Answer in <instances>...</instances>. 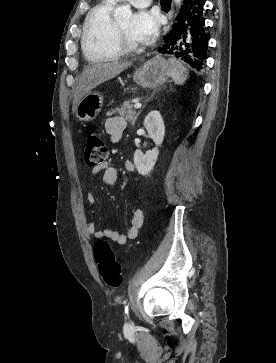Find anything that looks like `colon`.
Wrapping results in <instances>:
<instances>
[{"instance_id":"obj_1","label":"colon","mask_w":276,"mask_h":363,"mask_svg":"<svg viewBox=\"0 0 276 363\" xmlns=\"http://www.w3.org/2000/svg\"><path fill=\"white\" fill-rule=\"evenodd\" d=\"M107 148L98 133H90L86 138L84 159L87 165L95 167L105 162ZM94 258L98 271L108 286L118 287L122 282V271L110 244L104 240L95 243Z\"/></svg>"}]
</instances>
